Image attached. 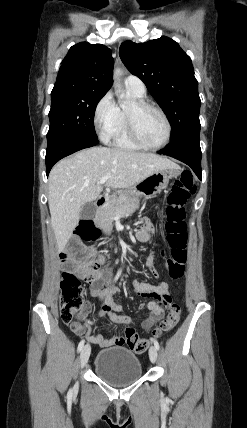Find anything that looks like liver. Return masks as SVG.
<instances>
[{
	"mask_svg": "<svg viewBox=\"0 0 247 428\" xmlns=\"http://www.w3.org/2000/svg\"><path fill=\"white\" fill-rule=\"evenodd\" d=\"M180 168L168 158L116 148L92 147L58 162L51 170L48 204L58 252L67 245L80 219L82 206L102 192L100 180L109 175L106 186L130 188L152 174Z\"/></svg>",
	"mask_w": 247,
	"mask_h": 428,
	"instance_id": "obj_1",
	"label": "liver"
}]
</instances>
